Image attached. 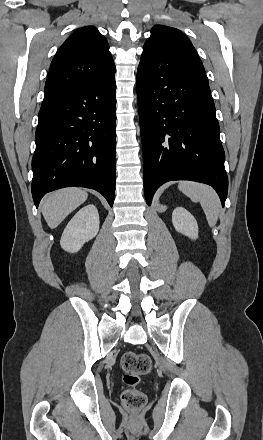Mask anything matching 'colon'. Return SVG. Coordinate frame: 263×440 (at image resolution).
Instances as JSON below:
<instances>
[{
	"label": "colon",
	"instance_id": "1",
	"mask_svg": "<svg viewBox=\"0 0 263 440\" xmlns=\"http://www.w3.org/2000/svg\"><path fill=\"white\" fill-rule=\"evenodd\" d=\"M121 367L126 385L121 393V403L129 411H141L147 404V397L137 387L142 377L150 372L152 360L148 354L128 351L121 358Z\"/></svg>",
	"mask_w": 263,
	"mask_h": 440
}]
</instances>
